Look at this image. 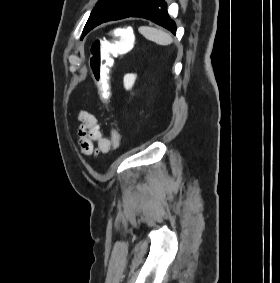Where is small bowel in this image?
Instances as JSON below:
<instances>
[{"instance_id":"obj_1","label":"small bowel","mask_w":280,"mask_h":283,"mask_svg":"<svg viewBox=\"0 0 280 283\" xmlns=\"http://www.w3.org/2000/svg\"><path fill=\"white\" fill-rule=\"evenodd\" d=\"M77 119L80 123L79 144L84 155L106 154L117 148L114 140L117 136L120 138V135L116 129L112 131L110 137L104 135L99 121L88 111H81Z\"/></svg>"}]
</instances>
